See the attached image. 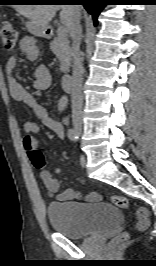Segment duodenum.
<instances>
[{"instance_id": "1", "label": "duodenum", "mask_w": 156, "mask_h": 266, "mask_svg": "<svg viewBox=\"0 0 156 266\" xmlns=\"http://www.w3.org/2000/svg\"><path fill=\"white\" fill-rule=\"evenodd\" d=\"M46 35L50 37L52 32L50 30L47 31ZM62 86L66 91H71L72 89V76L70 74H64L61 79Z\"/></svg>"}]
</instances>
